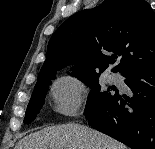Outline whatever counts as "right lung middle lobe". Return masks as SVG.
Here are the masks:
<instances>
[{
	"label": "right lung middle lobe",
	"instance_id": "dd1d6c3e",
	"mask_svg": "<svg viewBox=\"0 0 155 149\" xmlns=\"http://www.w3.org/2000/svg\"><path fill=\"white\" fill-rule=\"evenodd\" d=\"M71 75L77 77L78 79L85 82L88 86L92 87L85 109L86 116H89L93 112H97L101 107L107 105L118 94V91H116L115 94L110 92V89L115 90L112 87H109L107 91H101L98 82L99 73H97V71L73 72ZM54 78L55 75L42 79L36 83L31 100L25 113V124H29L35 119L37 113L41 109V106L44 104L46 92L48 90L49 84L51 83L50 79Z\"/></svg>",
	"mask_w": 155,
	"mask_h": 149
}]
</instances>
